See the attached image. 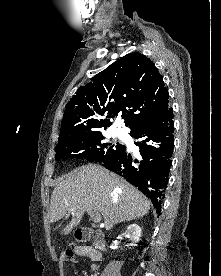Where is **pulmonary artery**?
<instances>
[{"label": "pulmonary artery", "instance_id": "obj_1", "mask_svg": "<svg viewBox=\"0 0 221 276\" xmlns=\"http://www.w3.org/2000/svg\"><path fill=\"white\" fill-rule=\"evenodd\" d=\"M115 133L116 135L121 136V132L119 130H117Z\"/></svg>", "mask_w": 221, "mask_h": 276}]
</instances>
